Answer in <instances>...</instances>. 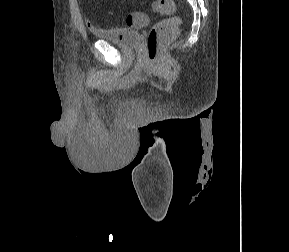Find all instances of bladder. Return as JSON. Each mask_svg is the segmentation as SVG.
I'll list each match as a JSON object with an SVG mask.
<instances>
[{
  "instance_id": "31cf9c89",
  "label": "bladder",
  "mask_w": 289,
  "mask_h": 252,
  "mask_svg": "<svg viewBox=\"0 0 289 252\" xmlns=\"http://www.w3.org/2000/svg\"><path fill=\"white\" fill-rule=\"evenodd\" d=\"M92 34L101 40L121 46L133 47L140 41V33L133 29L122 27L91 28Z\"/></svg>"
}]
</instances>
